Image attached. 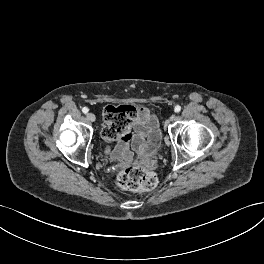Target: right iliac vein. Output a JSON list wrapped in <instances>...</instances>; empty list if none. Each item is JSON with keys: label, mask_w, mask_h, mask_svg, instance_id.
<instances>
[{"label": "right iliac vein", "mask_w": 264, "mask_h": 264, "mask_svg": "<svg viewBox=\"0 0 264 264\" xmlns=\"http://www.w3.org/2000/svg\"><path fill=\"white\" fill-rule=\"evenodd\" d=\"M86 118L90 122H94L95 119H96L95 115L93 113H91V112L90 113H87Z\"/></svg>", "instance_id": "63e3f726"}]
</instances>
